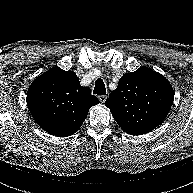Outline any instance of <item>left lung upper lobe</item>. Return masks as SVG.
Returning <instances> with one entry per match:
<instances>
[{
	"mask_svg": "<svg viewBox=\"0 0 193 193\" xmlns=\"http://www.w3.org/2000/svg\"><path fill=\"white\" fill-rule=\"evenodd\" d=\"M174 100L169 81L161 74L141 67L124 74L105 105L126 133L146 134L167 117Z\"/></svg>",
	"mask_w": 193,
	"mask_h": 193,
	"instance_id": "obj_1",
	"label": "left lung upper lobe"
}]
</instances>
